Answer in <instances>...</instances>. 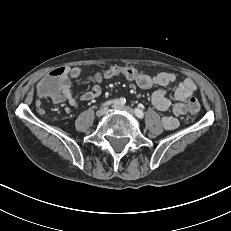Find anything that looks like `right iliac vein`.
<instances>
[{
    "mask_svg": "<svg viewBox=\"0 0 231 231\" xmlns=\"http://www.w3.org/2000/svg\"><path fill=\"white\" fill-rule=\"evenodd\" d=\"M106 112H107V108H106V107L100 108V109L96 112V116H97V117H102Z\"/></svg>",
    "mask_w": 231,
    "mask_h": 231,
    "instance_id": "63e3f726",
    "label": "right iliac vein"
}]
</instances>
